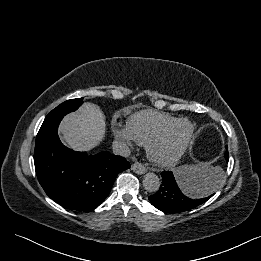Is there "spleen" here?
Returning <instances> with one entry per match:
<instances>
[{
	"mask_svg": "<svg viewBox=\"0 0 261 261\" xmlns=\"http://www.w3.org/2000/svg\"><path fill=\"white\" fill-rule=\"evenodd\" d=\"M187 171L190 177L200 184L201 188L197 192V197L207 196L217 188L219 183V175L216 174L209 166H190ZM208 184L212 185V187L209 188ZM194 197H196V195H194Z\"/></svg>",
	"mask_w": 261,
	"mask_h": 261,
	"instance_id": "3e777b00",
	"label": "spleen"
}]
</instances>
